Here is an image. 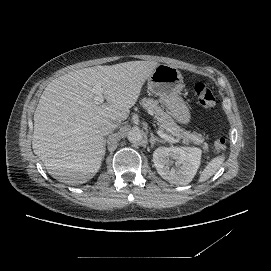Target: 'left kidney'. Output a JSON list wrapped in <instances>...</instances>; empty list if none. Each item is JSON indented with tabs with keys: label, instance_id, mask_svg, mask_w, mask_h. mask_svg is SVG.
<instances>
[{
	"label": "left kidney",
	"instance_id": "obj_1",
	"mask_svg": "<svg viewBox=\"0 0 271 271\" xmlns=\"http://www.w3.org/2000/svg\"><path fill=\"white\" fill-rule=\"evenodd\" d=\"M200 155L198 148L163 147L153 153V163L164 180L171 184L187 185L199 168Z\"/></svg>",
	"mask_w": 271,
	"mask_h": 271
}]
</instances>
